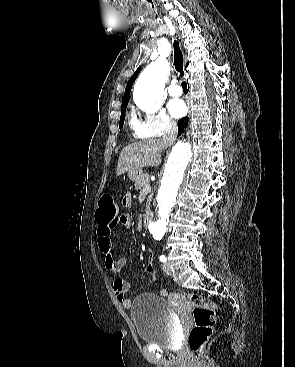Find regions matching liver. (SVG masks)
Segmentation results:
<instances>
[{
  "mask_svg": "<svg viewBox=\"0 0 295 367\" xmlns=\"http://www.w3.org/2000/svg\"><path fill=\"white\" fill-rule=\"evenodd\" d=\"M166 148L160 139L143 140L124 147L118 159L116 175L143 167L159 166L161 153Z\"/></svg>",
  "mask_w": 295,
  "mask_h": 367,
  "instance_id": "liver-1",
  "label": "liver"
}]
</instances>
